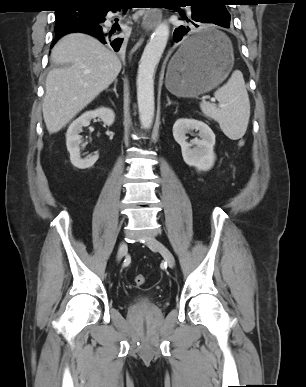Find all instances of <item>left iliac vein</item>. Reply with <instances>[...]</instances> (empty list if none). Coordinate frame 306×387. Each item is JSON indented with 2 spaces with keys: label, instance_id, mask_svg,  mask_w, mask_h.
<instances>
[{
  "label": "left iliac vein",
  "instance_id": "left-iliac-vein-1",
  "mask_svg": "<svg viewBox=\"0 0 306 387\" xmlns=\"http://www.w3.org/2000/svg\"><path fill=\"white\" fill-rule=\"evenodd\" d=\"M146 245L150 249L158 251L162 255V257L164 258V260L166 261L169 267L175 266V259L173 254L163 243H161L160 241L152 237L146 241Z\"/></svg>",
  "mask_w": 306,
  "mask_h": 387
}]
</instances>
